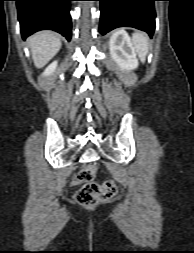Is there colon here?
Here are the masks:
<instances>
[{"mask_svg":"<svg viewBox=\"0 0 194 253\" xmlns=\"http://www.w3.org/2000/svg\"><path fill=\"white\" fill-rule=\"evenodd\" d=\"M95 175V168L91 165L84 166L79 179L85 184L76 192L75 200L83 206H92L99 202L110 199L116 193V185L111 180L102 183L92 182Z\"/></svg>","mask_w":194,"mask_h":253,"instance_id":"5ec220e1","label":"colon"}]
</instances>
